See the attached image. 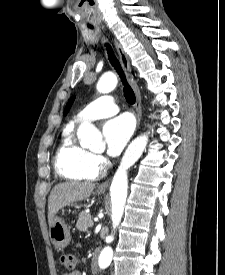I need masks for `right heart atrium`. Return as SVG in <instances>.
<instances>
[{
	"mask_svg": "<svg viewBox=\"0 0 225 275\" xmlns=\"http://www.w3.org/2000/svg\"><path fill=\"white\" fill-rule=\"evenodd\" d=\"M93 164L96 168H101L105 165V159L99 154H92Z\"/></svg>",
	"mask_w": 225,
	"mask_h": 275,
	"instance_id": "1",
	"label": "right heart atrium"
}]
</instances>
